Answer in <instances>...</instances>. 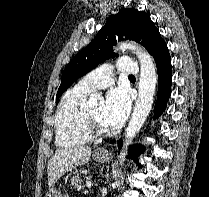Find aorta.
I'll use <instances>...</instances> for the list:
<instances>
[{"label":"aorta","mask_w":209,"mask_h":197,"mask_svg":"<svg viewBox=\"0 0 209 197\" xmlns=\"http://www.w3.org/2000/svg\"><path fill=\"white\" fill-rule=\"evenodd\" d=\"M117 50L134 52L140 63V80L138 88V99L136 100L132 117L126 128L125 145L139 132L151 110L157 84L156 66L152 56L141 46L133 42H123L117 46ZM99 96L91 95L89 104H95ZM126 147L121 152V162L124 159Z\"/></svg>","instance_id":"1"}]
</instances>
